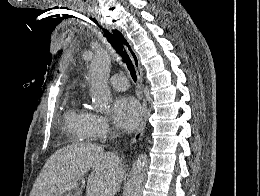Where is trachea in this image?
<instances>
[{
  "mask_svg": "<svg viewBox=\"0 0 260 196\" xmlns=\"http://www.w3.org/2000/svg\"><path fill=\"white\" fill-rule=\"evenodd\" d=\"M105 37L107 38V41L110 43L113 49L116 51V53L120 55L122 61L127 65L132 79L136 82V70L134 69V65L130 60L128 53L124 49V42L121 38V33L118 30H113V33L106 32Z\"/></svg>",
  "mask_w": 260,
  "mask_h": 196,
  "instance_id": "obj_1",
  "label": "trachea"
}]
</instances>
